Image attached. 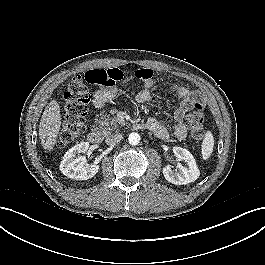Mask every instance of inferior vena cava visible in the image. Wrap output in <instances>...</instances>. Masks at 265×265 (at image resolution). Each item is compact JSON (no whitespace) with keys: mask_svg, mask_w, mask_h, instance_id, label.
I'll return each mask as SVG.
<instances>
[{"mask_svg":"<svg viewBox=\"0 0 265 265\" xmlns=\"http://www.w3.org/2000/svg\"><path fill=\"white\" fill-rule=\"evenodd\" d=\"M123 138L122 134H114L106 138L105 142L110 145H115L116 143L120 142Z\"/></svg>","mask_w":265,"mask_h":265,"instance_id":"inferior-vena-cava-1","label":"inferior vena cava"}]
</instances>
